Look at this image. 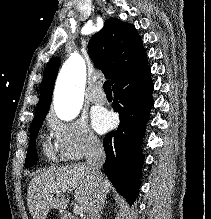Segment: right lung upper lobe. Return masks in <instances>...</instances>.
<instances>
[{
  "label": "right lung upper lobe",
  "mask_w": 211,
  "mask_h": 219,
  "mask_svg": "<svg viewBox=\"0 0 211 219\" xmlns=\"http://www.w3.org/2000/svg\"><path fill=\"white\" fill-rule=\"evenodd\" d=\"M89 53L97 68L113 84L125 73L139 67L147 58L146 51L134 25L110 18L89 42ZM60 59L55 57L47 65L41 84L35 116L47 114L58 73Z\"/></svg>",
  "instance_id": "right-lung-upper-lobe-1"
}]
</instances>
